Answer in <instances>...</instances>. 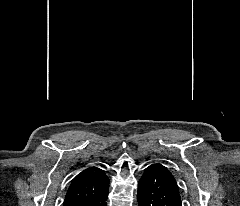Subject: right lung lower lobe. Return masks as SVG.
Segmentation results:
<instances>
[{
	"label": "right lung lower lobe",
	"instance_id": "98d812e1",
	"mask_svg": "<svg viewBox=\"0 0 240 206\" xmlns=\"http://www.w3.org/2000/svg\"><path fill=\"white\" fill-rule=\"evenodd\" d=\"M108 188L101 194L97 195L96 197L81 203L79 206H106L107 205L106 201L108 197Z\"/></svg>",
	"mask_w": 240,
	"mask_h": 206
}]
</instances>
